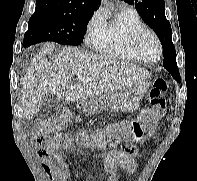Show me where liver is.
Masks as SVG:
<instances>
[{
    "label": "liver",
    "instance_id": "obj_1",
    "mask_svg": "<svg viewBox=\"0 0 197 181\" xmlns=\"http://www.w3.org/2000/svg\"><path fill=\"white\" fill-rule=\"evenodd\" d=\"M55 48V43H44L26 70L21 96L26 119L40 111L42 98L48 93L55 95L57 100L85 101L151 78V73L140 66L73 47L63 48L52 61H48L46 55ZM75 75L89 81L71 85Z\"/></svg>",
    "mask_w": 197,
    "mask_h": 181
}]
</instances>
